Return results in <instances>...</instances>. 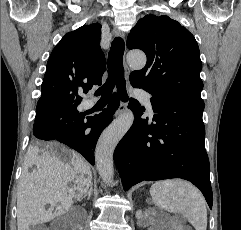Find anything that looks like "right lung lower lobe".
<instances>
[{"label":"right lung lower lobe","mask_w":241,"mask_h":230,"mask_svg":"<svg viewBox=\"0 0 241 230\" xmlns=\"http://www.w3.org/2000/svg\"><path fill=\"white\" fill-rule=\"evenodd\" d=\"M119 107V99L114 93L108 107L100 114L85 117L78 125L66 131H58L42 123V112L36 113L33 126L34 136L41 140H57L78 151L92 165L95 164L94 151L101 132L111 123L115 110ZM91 128L90 133L85 130Z\"/></svg>","instance_id":"98d812e1"}]
</instances>
